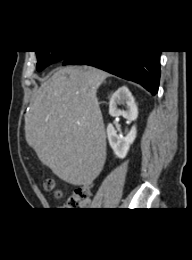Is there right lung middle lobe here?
I'll return each instance as SVG.
<instances>
[{
  "instance_id": "1",
  "label": "right lung middle lobe",
  "mask_w": 192,
  "mask_h": 260,
  "mask_svg": "<svg viewBox=\"0 0 192 260\" xmlns=\"http://www.w3.org/2000/svg\"><path fill=\"white\" fill-rule=\"evenodd\" d=\"M70 53L69 51H36L38 60L36 69L41 71L54 62L64 60Z\"/></svg>"
}]
</instances>
